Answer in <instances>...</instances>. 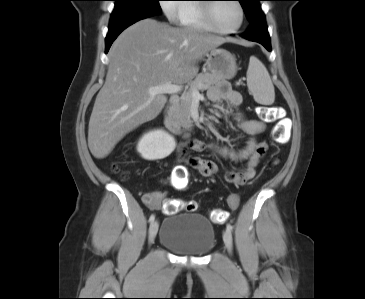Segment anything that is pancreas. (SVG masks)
I'll return each mask as SVG.
<instances>
[{"instance_id":"cf45deb5","label":"pancreas","mask_w":365,"mask_h":299,"mask_svg":"<svg viewBox=\"0 0 365 299\" xmlns=\"http://www.w3.org/2000/svg\"><path fill=\"white\" fill-rule=\"evenodd\" d=\"M221 80L222 78L220 76L213 75L209 72L198 74L194 81L191 82L190 89L182 94L179 104L175 105L172 110V117L175 123L186 129L190 128L192 126L190 112L193 100L192 90L198 89L204 91L214 85H218Z\"/></svg>"}]
</instances>
